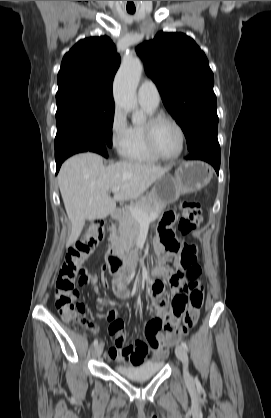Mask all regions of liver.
<instances>
[{"label": "liver", "instance_id": "6515ba94", "mask_svg": "<svg viewBox=\"0 0 271 418\" xmlns=\"http://www.w3.org/2000/svg\"><path fill=\"white\" fill-rule=\"evenodd\" d=\"M170 169V166L134 161L105 166L101 156L89 152L66 160L58 174V185L72 225L66 246L77 241L86 220L102 219L114 213L116 201L139 198ZM113 187L120 190L111 198L108 192Z\"/></svg>", "mask_w": 271, "mask_h": 418}]
</instances>
